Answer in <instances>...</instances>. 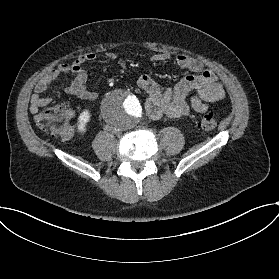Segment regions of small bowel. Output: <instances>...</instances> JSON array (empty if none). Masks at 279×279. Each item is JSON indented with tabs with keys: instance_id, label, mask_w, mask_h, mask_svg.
<instances>
[{
	"instance_id": "1",
	"label": "small bowel",
	"mask_w": 279,
	"mask_h": 279,
	"mask_svg": "<svg viewBox=\"0 0 279 279\" xmlns=\"http://www.w3.org/2000/svg\"><path fill=\"white\" fill-rule=\"evenodd\" d=\"M112 59L115 58L111 54ZM94 52H85L76 57L71 63H61L48 71L36 83L30 100V112L38 114L40 109L52 103V98L44 93L54 81L64 76H71L72 81L65 86L64 91L83 100L95 101L98 92L87 86V72L85 65L94 61ZM170 59L168 52L153 54V63H164ZM177 66L190 72L173 89L162 90L159 85L147 74L137 78V84L147 95L145 110L150 118L157 121L186 117L191 110L204 113L211 102L224 98L225 89L217 75L205 69L203 63L186 54H178L175 58Z\"/></svg>"
}]
</instances>
